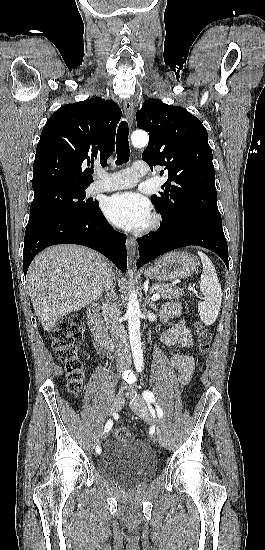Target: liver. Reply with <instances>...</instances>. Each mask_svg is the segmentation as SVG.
<instances>
[{
	"instance_id": "6515ba94",
	"label": "liver",
	"mask_w": 265,
	"mask_h": 550,
	"mask_svg": "<svg viewBox=\"0 0 265 550\" xmlns=\"http://www.w3.org/2000/svg\"><path fill=\"white\" fill-rule=\"evenodd\" d=\"M112 274V264L79 245H55L31 263L28 290L36 316L50 332L65 315L96 302Z\"/></svg>"
}]
</instances>
